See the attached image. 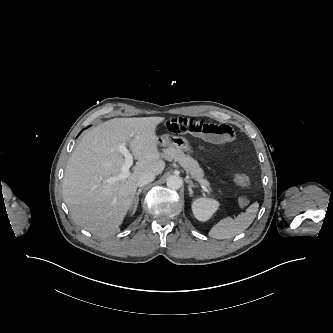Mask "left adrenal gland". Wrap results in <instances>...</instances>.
Instances as JSON below:
<instances>
[{
	"instance_id": "1",
	"label": "left adrenal gland",
	"mask_w": 333,
	"mask_h": 333,
	"mask_svg": "<svg viewBox=\"0 0 333 333\" xmlns=\"http://www.w3.org/2000/svg\"><path fill=\"white\" fill-rule=\"evenodd\" d=\"M186 182L189 184L188 185V191H189V195L192 197L193 196V187H196L193 182L191 180H186Z\"/></svg>"
}]
</instances>
